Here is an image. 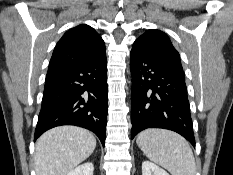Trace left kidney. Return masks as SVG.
Wrapping results in <instances>:
<instances>
[{
  "mask_svg": "<svg viewBox=\"0 0 233 175\" xmlns=\"http://www.w3.org/2000/svg\"><path fill=\"white\" fill-rule=\"evenodd\" d=\"M142 175H169L164 169L150 161L142 163Z\"/></svg>",
  "mask_w": 233,
  "mask_h": 175,
  "instance_id": "1",
  "label": "left kidney"
}]
</instances>
